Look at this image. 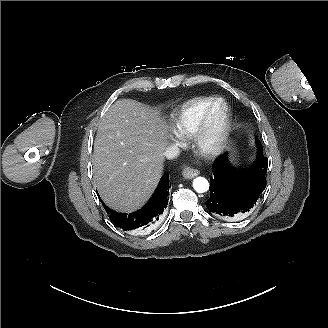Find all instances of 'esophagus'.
<instances>
[{
	"mask_svg": "<svg viewBox=\"0 0 328 328\" xmlns=\"http://www.w3.org/2000/svg\"><path fill=\"white\" fill-rule=\"evenodd\" d=\"M198 174H200L199 170L192 168L190 166H184L183 170H182V175L184 178L186 179H191L194 178L195 176H197Z\"/></svg>",
	"mask_w": 328,
	"mask_h": 328,
	"instance_id": "34e87169",
	"label": "esophagus"
}]
</instances>
